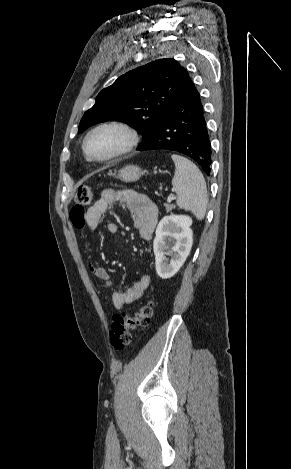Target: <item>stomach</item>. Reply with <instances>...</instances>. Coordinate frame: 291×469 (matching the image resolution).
Listing matches in <instances>:
<instances>
[{
    "label": "stomach",
    "mask_w": 291,
    "mask_h": 469,
    "mask_svg": "<svg viewBox=\"0 0 291 469\" xmlns=\"http://www.w3.org/2000/svg\"><path fill=\"white\" fill-rule=\"evenodd\" d=\"M144 172L136 165H127L119 170L118 178L124 182H134L141 178Z\"/></svg>",
    "instance_id": "obj_1"
}]
</instances>
